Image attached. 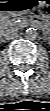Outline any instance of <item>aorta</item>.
<instances>
[{
    "label": "aorta",
    "mask_w": 50,
    "mask_h": 111,
    "mask_svg": "<svg viewBox=\"0 0 50 111\" xmlns=\"http://www.w3.org/2000/svg\"><path fill=\"white\" fill-rule=\"evenodd\" d=\"M25 37L29 40H35L38 37V31L35 28H28L25 31Z\"/></svg>",
    "instance_id": "762f6f07"
}]
</instances>
